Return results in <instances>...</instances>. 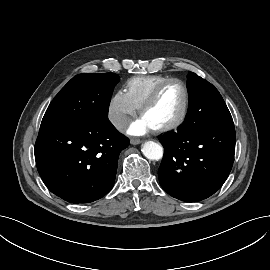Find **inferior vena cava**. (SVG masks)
Instances as JSON below:
<instances>
[{
	"mask_svg": "<svg viewBox=\"0 0 270 270\" xmlns=\"http://www.w3.org/2000/svg\"><path fill=\"white\" fill-rule=\"evenodd\" d=\"M128 124H129V119L126 116H122L114 122L115 127L119 130L126 128Z\"/></svg>",
	"mask_w": 270,
	"mask_h": 270,
	"instance_id": "inferior-vena-cava-1",
	"label": "inferior vena cava"
}]
</instances>
